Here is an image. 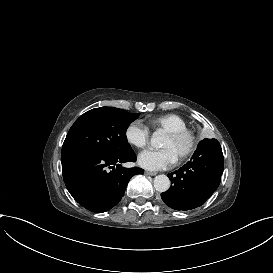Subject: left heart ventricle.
Here are the masks:
<instances>
[{"label":"left heart ventricle","instance_id":"obj_1","mask_svg":"<svg viewBox=\"0 0 273 273\" xmlns=\"http://www.w3.org/2000/svg\"><path fill=\"white\" fill-rule=\"evenodd\" d=\"M188 145V140L185 137L182 138H169L163 136L160 147L169 148L174 156L178 159L180 155L185 151Z\"/></svg>","mask_w":273,"mask_h":273}]
</instances>
